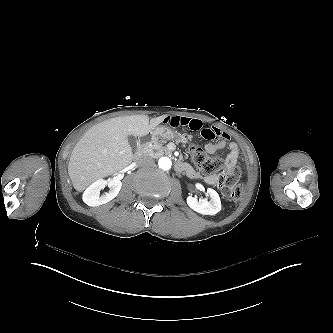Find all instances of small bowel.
<instances>
[{"instance_id": "c3829d8e", "label": "small bowel", "mask_w": 333, "mask_h": 333, "mask_svg": "<svg viewBox=\"0 0 333 333\" xmlns=\"http://www.w3.org/2000/svg\"><path fill=\"white\" fill-rule=\"evenodd\" d=\"M163 123L169 127H182L192 131H197L206 140L219 139L216 142H210L205 145V151L208 154H214L218 150L228 146L229 154L225 159L226 169H231L237 165L240 159V148L236 143L230 142V137L223 130L217 127H210L209 124H204L201 119L192 116L174 115L164 119ZM192 169L197 176L199 174L188 164H183ZM205 182L209 185L218 183V175H208L205 177Z\"/></svg>"}]
</instances>
